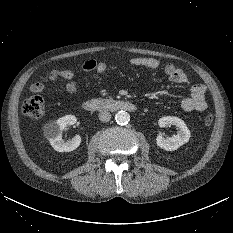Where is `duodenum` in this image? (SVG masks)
Listing matches in <instances>:
<instances>
[{
  "label": "duodenum",
  "mask_w": 233,
  "mask_h": 233,
  "mask_svg": "<svg viewBox=\"0 0 233 233\" xmlns=\"http://www.w3.org/2000/svg\"><path fill=\"white\" fill-rule=\"evenodd\" d=\"M82 107L87 111H130L137 110V106L131 102L119 99H91L83 102Z\"/></svg>",
  "instance_id": "410a0bca"
}]
</instances>
